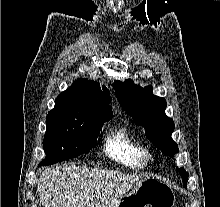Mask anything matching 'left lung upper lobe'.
Segmentation results:
<instances>
[{
  "mask_svg": "<svg viewBox=\"0 0 220 207\" xmlns=\"http://www.w3.org/2000/svg\"><path fill=\"white\" fill-rule=\"evenodd\" d=\"M114 90L122 108L134 122L145 128L146 137L165 155L178 153V145L172 140L174 122L165 114L166 100L152 94V87H140L131 79L115 81Z\"/></svg>",
  "mask_w": 220,
  "mask_h": 207,
  "instance_id": "5c2ea615",
  "label": "left lung upper lobe"
}]
</instances>
